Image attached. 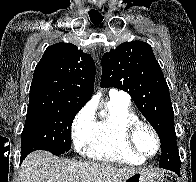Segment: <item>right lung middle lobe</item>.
Listing matches in <instances>:
<instances>
[{"instance_id":"dd1d6c3e","label":"right lung middle lobe","mask_w":196,"mask_h":182,"mask_svg":"<svg viewBox=\"0 0 196 182\" xmlns=\"http://www.w3.org/2000/svg\"><path fill=\"white\" fill-rule=\"evenodd\" d=\"M80 109L44 107L28 109L21 138V158L35 150L61 155L71 148V125Z\"/></svg>"}]
</instances>
